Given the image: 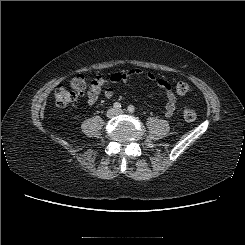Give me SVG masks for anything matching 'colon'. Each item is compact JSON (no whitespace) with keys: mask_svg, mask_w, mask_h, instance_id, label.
<instances>
[{"mask_svg":"<svg viewBox=\"0 0 245 245\" xmlns=\"http://www.w3.org/2000/svg\"><path fill=\"white\" fill-rule=\"evenodd\" d=\"M89 87V82L87 78L78 74L74 76L70 82L68 87L59 86L56 88L54 92L55 103L59 107H66L72 104L77 96L83 93ZM191 91V87L187 82H178L175 86V93L177 95L183 96L188 94ZM183 116L185 120L192 122L196 120L197 113L194 109L190 107H186L183 111Z\"/></svg>","mask_w":245,"mask_h":245,"instance_id":"5ec220e1","label":"colon"}]
</instances>
